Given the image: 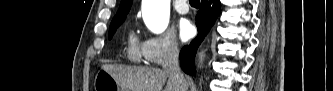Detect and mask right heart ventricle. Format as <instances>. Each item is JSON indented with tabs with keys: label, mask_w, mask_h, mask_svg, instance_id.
<instances>
[{
	"label": "right heart ventricle",
	"mask_w": 333,
	"mask_h": 91,
	"mask_svg": "<svg viewBox=\"0 0 333 91\" xmlns=\"http://www.w3.org/2000/svg\"><path fill=\"white\" fill-rule=\"evenodd\" d=\"M126 54L132 62H140L143 57L141 44L132 32L128 35Z\"/></svg>",
	"instance_id": "obj_1"
}]
</instances>
